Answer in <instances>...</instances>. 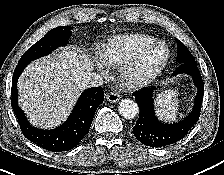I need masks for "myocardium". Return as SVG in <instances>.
<instances>
[{
    "mask_svg": "<svg viewBox=\"0 0 224 175\" xmlns=\"http://www.w3.org/2000/svg\"><path fill=\"white\" fill-rule=\"evenodd\" d=\"M162 47L164 55L160 62L150 71L139 73V67L146 54L154 48ZM170 58V49L163 41L155 40L142 47L132 58L123 63L119 70V78L128 89H139L153 82L165 69Z\"/></svg>",
    "mask_w": 224,
    "mask_h": 175,
    "instance_id": "obj_1",
    "label": "myocardium"
}]
</instances>
